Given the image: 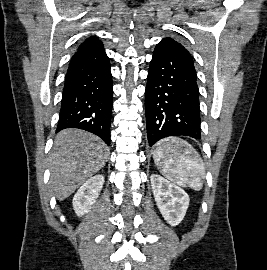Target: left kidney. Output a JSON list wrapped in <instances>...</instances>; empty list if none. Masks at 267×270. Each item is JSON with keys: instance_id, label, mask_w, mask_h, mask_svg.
<instances>
[{"instance_id": "left-kidney-1", "label": "left kidney", "mask_w": 267, "mask_h": 270, "mask_svg": "<svg viewBox=\"0 0 267 270\" xmlns=\"http://www.w3.org/2000/svg\"><path fill=\"white\" fill-rule=\"evenodd\" d=\"M155 202L163 218L171 226L178 225L189 206L188 194L179 186L157 174L150 177Z\"/></svg>"}]
</instances>
